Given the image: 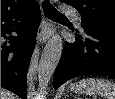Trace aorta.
I'll list each match as a JSON object with an SVG mask.
<instances>
[{"label":"aorta","instance_id":"762f6f07","mask_svg":"<svg viewBox=\"0 0 115 99\" xmlns=\"http://www.w3.org/2000/svg\"><path fill=\"white\" fill-rule=\"evenodd\" d=\"M63 51L62 38L55 34L47 42L38 68L39 87L45 90L60 61Z\"/></svg>","mask_w":115,"mask_h":99}]
</instances>
